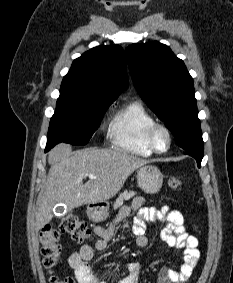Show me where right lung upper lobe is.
<instances>
[{
	"instance_id": "right-lung-upper-lobe-1",
	"label": "right lung upper lobe",
	"mask_w": 233,
	"mask_h": 283,
	"mask_svg": "<svg viewBox=\"0 0 233 283\" xmlns=\"http://www.w3.org/2000/svg\"><path fill=\"white\" fill-rule=\"evenodd\" d=\"M127 87L123 49L119 45H101L73 61L60 91L80 100L110 105Z\"/></svg>"
}]
</instances>
